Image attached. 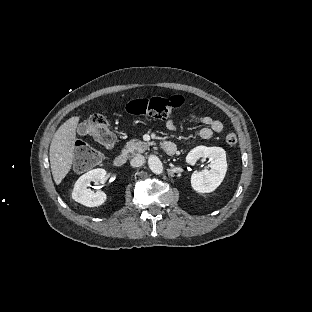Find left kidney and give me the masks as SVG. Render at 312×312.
I'll list each match as a JSON object with an SVG mask.
<instances>
[{
    "instance_id": "left-kidney-1",
    "label": "left kidney",
    "mask_w": 312,
    "mask_h": 312,
    "mask_svg": "<svg viewBox=\"0 0 312 312\" xmlns=\"http://www.w3.org/2000/svg\"><path fill=\"white\" fill-rule=\"evenodd\" d=\"M205 158L211 161L208 165L209 170L196 171L191 178V187L198 194L211 193L216 190L223 182L228 170L226 152L220 147H195L187 155L186 161L193 165Z\"/></svg>"
}]
</instances>
